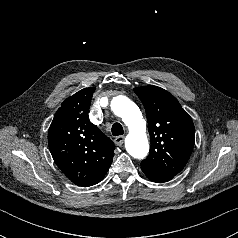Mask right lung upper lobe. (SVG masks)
Returning a JSON list of instances; mask_svg holds the SVG:
<instances>
[{"instance_id":"1","label":"right lung upper lobe","mask_w":238,"mask_h":238,"mask_svg":"<svg viewBox=\"0 0 238 238\" xmlns=\"http://www.w3.org/2000/svg\"><path fill=\"white\" fill-rule=\"evenodd\" d=\"M94 87L65 99L48 132L51 155L76 185L88 187L102 180L111 166L114 143L92 124L88 112Z\"/></svg>"}]
</instances>
